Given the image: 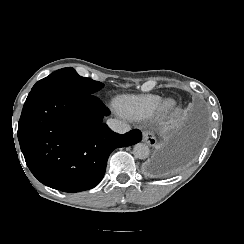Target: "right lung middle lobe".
Masks as SVG:
<instances>
[{"mask_svg": "<svg viewBox=\"0 0 244 244\" xmlns=\"http://www.w3.org/2000/svg\"><path fill=\"white\" fill-rule=\"evenodd\" d=\"M103 84L90 78L81 77L73 68L59 69L48 77L38 81L31 91L43 89H63L71 90L84 95H93Z\"/></svg>", "mask_w": 244, "mask_h": 244, "instance_id": "dd1d6c3e", "label": "right lung middle lobe"}]
</instances>
